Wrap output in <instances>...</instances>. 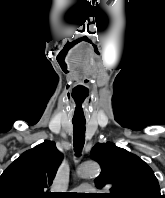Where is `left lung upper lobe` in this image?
Wrapping results in <instances>:
<instances>
[{"instance_id": "left-lung-upper-lobe-1", "label": "left lung upper lobe", "mask_w": 165, "mask_h": 198, "mask_svg": "<svg viewBox=\"0 0 165 198\" xmlns=\"http://www.w3.org/2000/svg\"><path fill=\"white\" fill-rule=\"evenodd\" d=\"M91 156L102 170L95 185L110 190L102 198H164L153 170L138 156L111 142L97 143Z\"/></svg>"}]
</instances>
